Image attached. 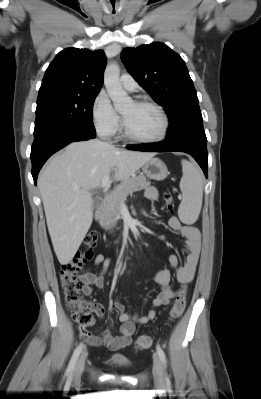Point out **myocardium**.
Listing matches in <instances>:
<instances>
[{"instance_id":"1","label":"myocardium","mask_w":261,"mask_h":399,"mask_svg":"<svg viewBox=\"0 0 261 399\" xmlns=\"http://www.w3.org/2000/svg\"><path fill=\"white\" fill-rule=\"evenodd\" d=\"M134 102L139 105L150 106V107L154 108L155 110H157V112L160 114V116L162 118L163 127H162L160 134L156 137H152V138L139 137L130 131L124 117L122 116V128H123L124 136L134 142L145 143V144L158 143L160 141H163L167 137V135L169 133V129H170V120H169V117H168L166 111L164 110V108L157 102L149 100V99H137Z\"/></svg>"}]
</instances>
